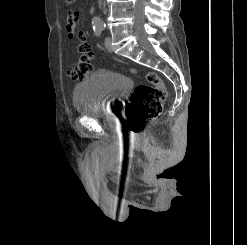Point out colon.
Listing matches in <instances>:
<instances>
[{"mask_svg":"<svg viewBox=\"0 0 247 245\" xmlns=\"http://www.w3.org/2000/svg\"><path fill=\"white\" fill-rule=\"evenodd\" d=\"M73 1L66 0L69 4ZM78 52L80 54L78 63L68 70L69 77L75 81L86 78L93 71L91 46L82 41L78 45ZM130 71L136 73L135 69H130ZM145 80L148 84L135 87L126 108L127 128L133 133H140L149 121L157 118L167 99L165 84L158 75L147 72Z\"/></svg>","mask_w":247,"mask_h":245,"instance_id":"colon-1","label":"colon"}]
</instances>
